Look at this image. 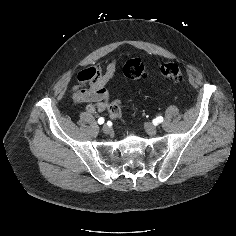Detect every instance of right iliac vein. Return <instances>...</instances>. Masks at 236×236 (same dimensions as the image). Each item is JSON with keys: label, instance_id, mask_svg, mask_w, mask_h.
Here are the masks:
<instances>
[{"label": "right iliac vein", "instance_id": "right-iliac-vein-1", "mask_svg": "<svg viewBox=\"0 0 236 236\" xmlns=\"http://www.w3.org/2000/svg\"><path fill=\"white\" fill-rule=\"evenodd\" d=\"M102 130H103V132H104L105 134H110L111 131H112V129H111L109 126H107V125H104L103 128H102Z\"/></svg>", "mask_w": 236, "mask_h": 236}]
</instances>
